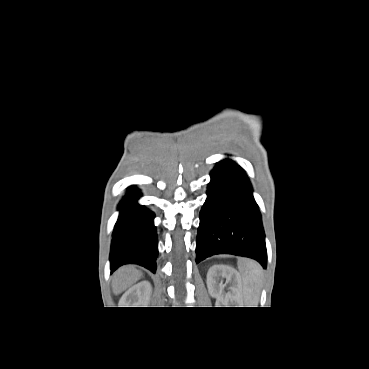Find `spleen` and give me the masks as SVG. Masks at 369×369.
Instances as JSON below:
<instances>
[{
	"instance_id": "1",
	"label": "spleen",
	"mask_w": 369,
	"mask_h": 369,
	"mask_svg": "<svg viewBox=\"0 0 369 369\" xmlns=\"http://www.w3.org/2000/svg\"><path fill=\"white\" fill-rule=\"evenodd\" d=\"M239 272L242 280V297L247 307H257L261 290L262 269L252 260H239Z\"/></svg>"
}]
</instances>
